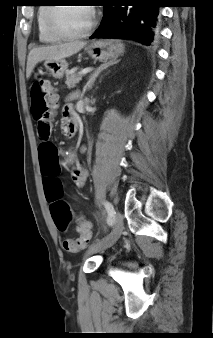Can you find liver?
Here are the masks:
<instances>
[{
    "mask_svg": "<svg viewBox=\"0 0 213 338\" xmlns=\"http://www.w3.org/2000/svg\"><path fill=\"white\" fill-rule=\"evenodd\" d=\"M84 41H74L58 45L33 48L27 59L26 77L30 78L37 63L46 60H61L78 53L84 46Z\"/></svg>",
    "mask_w": 213,
    "mask_h": 338,
    "instance_id": "obj_1",
    "label": "liver"
}]
</instances>
